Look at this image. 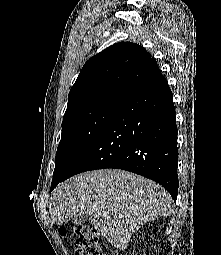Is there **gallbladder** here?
Instances as JSON below:
<instances>
[{"label":"gallbladder","mask_w":221,"mask_h":255,"mask_svg":"<svg viewBox=\"0 0 221 255\" xmlns=\"http://www.w3.org/2000/svg\"><path fill=\"white\" fill-rule=\"evenodd\" d=\"M87 219H88V217L86 215L76 214L74 216L73 223H74V225H80V224L84 223L85 221H87Z\"/></svg>","instance_id":"1"}]
</instances>
